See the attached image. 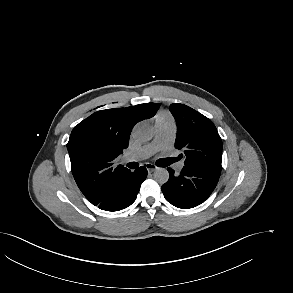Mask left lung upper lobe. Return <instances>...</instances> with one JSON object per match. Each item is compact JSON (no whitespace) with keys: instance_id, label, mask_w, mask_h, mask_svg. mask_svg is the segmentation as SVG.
I'll list each match as a JSON object with an SVG mask.
<instances>
[{"instance_id":"1","label":"left lung upper lobe","mask_w":293,"mask_h":293,"mask_svg":"<svg viewBox=\"0 0 293 293\" xmlns=\"http://www.w3.org/2000/svg\"><path fill=\"white\" fill-rule=\"evenodd\" d=\"M177 124L175 148L184 157L185 166L208 170L220 176L222 141L210 119L196 110L174 103L169 107Z\"/></svg>"}]
</instances>
